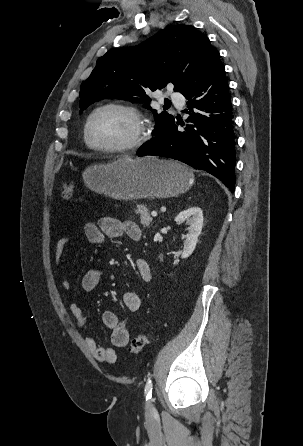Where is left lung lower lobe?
I'll use <instances>...</instances> for the list:
<instances>
[{"instance_id":"obj_1","label":"left lung lower lobe","mask_w":303,"mask_h":446,"mask_svg":"<svg viewBox=\"0 0 303 446\" xmlns=\"http://www.w3.org/2000/svg\"><path fill=\"white\" fill-rule=\"evenodd\" d=\"M199 81L198 86L193 85L182 93L188 100L189 111L185 112L190 114L185 131H178L174 119L140 148L137 155L182 161L212 174L234 192L236 154L232 103L219 52Z\"/></svg>"}]
</instances>
